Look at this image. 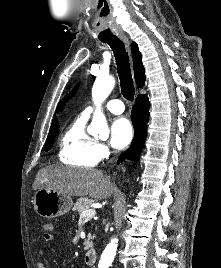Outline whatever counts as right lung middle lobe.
Masks as SVG:
<instances>
[{
    "label": "right lung middle lobe",
    "instance_id": "1",
    "mask_svg": "<svg viewBox=\"0 0 221 268\" xmlns=\"http://www.w3.org/2000/svg\"><path fill=\"white\" fill-rule=\"evenodd\" d=\"M58 129H59V126L57 127H52L50 128V131H49V134H48V137H47V141H46V144H45V150L48 151L51 149L52 145H53V142H54V139L58 133Z\"/></svg>",
    "mask_w": 221,
    "mask_h": 268
}]
</instances>
